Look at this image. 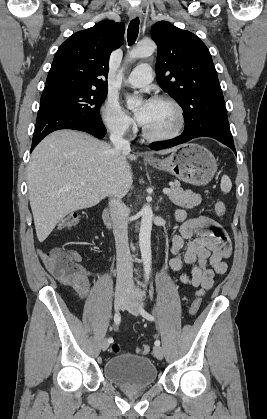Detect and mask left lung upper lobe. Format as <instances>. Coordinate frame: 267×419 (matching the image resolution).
Listing matches in <instances>:
<instances>
[{
	"instance_id": "5c2ea615",
	"label": "left lung upper lobe",
	"mask_w": 267,
	"mask_h": 419,
	"mask_svg": "<svg viewBox=\"0 0 267 419\" xmlns=\"http://www.w3.org/2000/svg\"><path fill=\"white\" fill-rule=\"evenodd\" d=\"M158 46L157 82L182 107L185 125L209 111L225 112L217 72L206 45L168 22L151 29Z\"/></svg>"
}]
</instances>
